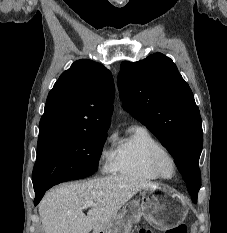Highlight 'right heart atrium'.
<instances>
[{"mask_svg": "<svg viewBox=\"0 0 227 233\" xmlns=\"http://www.w3.org/2000/svg\"><path fill=\"white\" fill-rule=\"evenodd\" d=\"M114 139L113 134H108L99 150L98 161L102 172H110L113 168L114 150L110 147Z\"/></svg>", "mask_w": 227, "mask_h": 233, "instance_id": "obj_1", "label": "right heart atrium"}]
</instances>
